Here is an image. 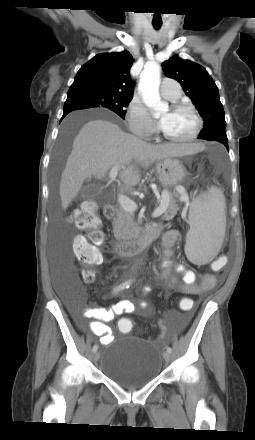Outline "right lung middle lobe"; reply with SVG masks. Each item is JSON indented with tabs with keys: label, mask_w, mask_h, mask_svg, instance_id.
Returning <instances> with one entry per match:
<instances>
[{
	"label": "right lung middle lobe",
	"mask_w": 255,
	"mask_h": 440,
	"mask_svg": "<svg viewBox=\"0 0 255 440\" xmlns=\"http://www.w3.org/2000/svg\"><path fill=\"white\" fill-rule=\"evenodd\" d=\"M132 100L130 96L108 94L104 92H83L68 95L64 104V111L104 107L114 111L121 118L126 113L125 107Z\"/></svg>",
	"instance_id": "right-lung-middle-lobe-1"
}]
</instances>
